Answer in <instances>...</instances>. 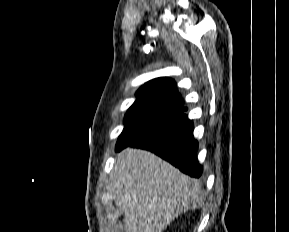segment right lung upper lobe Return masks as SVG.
Listing matches in <instances>:
<instances>
[{"instance_id": "1", "label": "right lung upper lobe", "mask_w": 289, "mask_h": 232, "mask_svg": "<svg viewBox=\"0 0 289 232\" xmlns=\"http://www.w3.org/2000/svg\"><path fill=\"white\" fill-rule=\"evenodd\" d=\"M135 103L150 104L157 107L184 112L181 96L177 92L174 80L170 78H156L139 88Z\"/></svg>"}]
</instances>
